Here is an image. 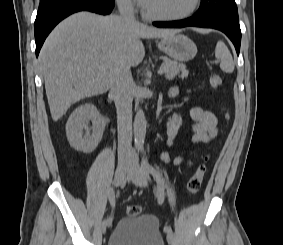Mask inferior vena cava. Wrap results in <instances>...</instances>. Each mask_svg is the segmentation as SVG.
<instances>
[{"label":"inferior vena cava","instance_id":"obj_1","mask_svg":"<svg viewBox=\"0 0 283 245\" xmlns=\"http://www.w3.org/2000/svg\"><path fill=\"white\" fill-rule=\"evenodd\" d=\"M117 5L119 14L125 21H136L129 0H118ZM133 90L134 83L130 67L120 69L114 78L110 90V95L114 99L117 110L119 160L135 158L131 151Z\"/></svg>","mask_w":283,"mask_h":245}]
</instances>
